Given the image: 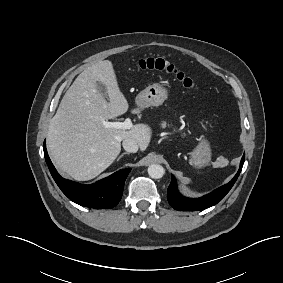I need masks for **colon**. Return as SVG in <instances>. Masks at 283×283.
<instances>
[{"instance_id": "colon-1", "label": "colon", "mask_w": 283, "mask_h": 283, "mask_svg": "<svg viewBox=\"0 0 283 283\" xmlns=\"http://www.w3.org/2000/svg\"><path fill=\"white\" fill-rule=\"evenodd\" d=\"M138 68L142 71H157L173 75L184 88L195 89L192 78L179 71L174 65L162 58L148 57L138 62Z\"/></svg>"}]
</instances>
